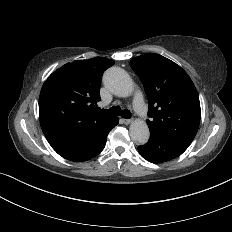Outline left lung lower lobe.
I'll list each match as a JSON object with an SVG mask.
<instances>
[{
  "mask_svg": "<svg viewBox=\"0 0 232 232\" xmlns=\"http://www.w3.org/2000/svg\"><path fill=\"white\" fill-rule=\"evenodd\" d=\"M187 148L172 140L150 133L149 141L138 147L141 156L152 163H162L181 155Z\"/></svg>",
  "mask_w": 232,
  "mask_h": 232,
  "instance_id": "obj_1",
  "label": "left lung lower lobe"
}]
</instances>
